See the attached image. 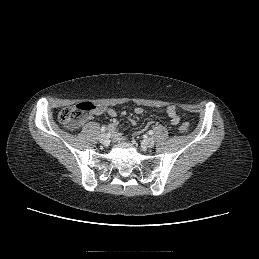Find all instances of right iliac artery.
<instances>
[{"instance_id":"82829eb1","label":"right iliac artery","mask_w":259,"mask_h":259,"mask_svg":"<svg viewBox=\"0 0 259 259\" xmlns=\"http://www.w3.org/2000/svg\"><path fill=\"white\" fill-rule=\"evenodd\" d=\"M106 131V128L105 127H102L101 128V132H105Z\"/></svg>"}]
</instances>
